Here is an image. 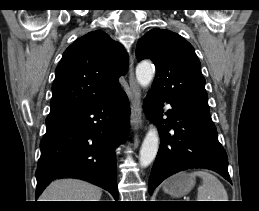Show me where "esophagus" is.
<instances>
[{"mask_svg": "<svg viewBox=\"0 0 259 211\" xmlns=\"http://www.w3.org/2000/svg\"><path fill=\"white\" fill-rule=\"evenodd\" d=\"M129 85L132 94L131 125L132 128L142 126L141 91L134 76V61L131 57L129 66Z\"/></svg>", "mask_w": 259, "mask_h": 211, "instance_id": "34e87169", "label": "esophagus"}]
</instances>
